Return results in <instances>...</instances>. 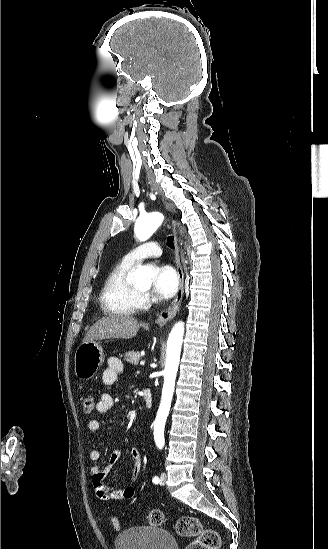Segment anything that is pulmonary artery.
I'll use <instances>...</instances> for the list:
<instances>
[{
	"mask_svg": "<svg viewBox=\"0 0 328 549\" xmlns=\"http://www.w3.org/2000/svg\"><path fill=\"white\" fill-rule=\"evenodd\" d=\"M154 243L157 245L159 242L156 240ZM142 248L144 251L141 250L139 247L130 250L126 254V258L131 261L140 262L147 258L160 257L165 252L162 247L153 246L152 243L149 241H147L146 246Z\"/></svg>",
	"mask_w": 328,
	"mask_h": 549,
	"instance_id": "1",
	"label": "pulmonary artery"
}]
</instances>
